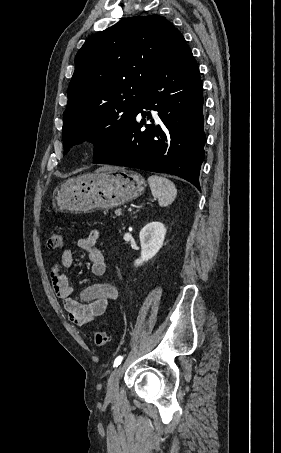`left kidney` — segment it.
Returning a JSON list of instances; mask_svg holds the SVG:
<instances>
[{
	"label": "left kidney",
	"mask_w": 281,
	"mask_h": 453,
	"mask_svg": "<svg viewBox=\"0 0 281 453\" xmlns=\"http://www.w3.org/2000/svg\"><path fill=\"white\" fill-rule=\"evenodd\" d=\"M166 231L167 229H165L163 222H158V220L145 224L139 235L141 255L139 259H136L135 267H140V265L157 255L164 243Z\"/></svg>",
	"instance_id": "1"
}]
</instances>
